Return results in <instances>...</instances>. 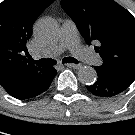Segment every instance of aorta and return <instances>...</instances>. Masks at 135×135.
Returning <instances> with one entry per match:
<instances>
[{
  "label": "aorta",
  "instance_id": "1",
  "mask_svg": "<svg viewBox=\"0 0 135 135\" xmlns=\"http://www.w3.org/2000/svg\"><path fill=\"white\" fill-rule=\"evenodd\" d=\"M36 36L44 42H55L59 38V27L51 19H42L35 25ZM97 73L91 66H84L78 71L81 83L91 85L96 81Z\"/></svg>",
  "mask_w": 135,
  "mask_h": 135
}]
</instances>
